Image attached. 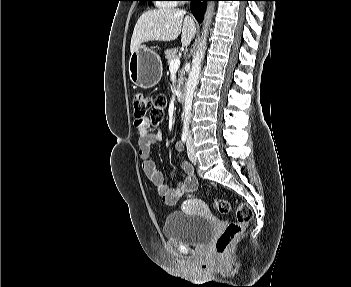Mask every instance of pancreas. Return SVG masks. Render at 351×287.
<instances>
[{
  "mask_svg": "<svg viewBox=\"0 0 351 287\" xmlns=\"http://www.w3.org/2000/svg\"><path fill=\"white\" fill-rule=\"evenodd\" d=\"M165 58L167 59V63L168 65H170V62L175 59V58H178L177 56V50L176 49H167L165 51ZM179 83L182 82V79H183V75H182V72L180 71V74H179Z\"/></svg>",
  "mask_w": 351,
  "mask_h": 287,
  "instance_id": "1",
  "label": "pancreas"
}]
</instances>
